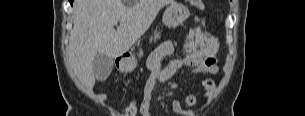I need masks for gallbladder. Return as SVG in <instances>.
<instances>
[{"mask_svg":"<svg viewBox=\"0 0 305 116\" xmlns=\"http://www.w3.org/2000/svg\"><path fill=\"white\" fill-rule=\"evenodd\" d=\"M114 66L112 57L97 54L93 61V71L98 81H105L111 74Z\"/></svg>","mask_w":305,"mask_h":116,"instance_id":"1","label":"gallbladder"}]
</instances>
